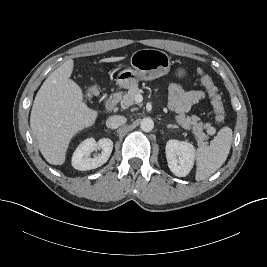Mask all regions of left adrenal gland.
<instances>
[{
    "label": "left adrenal gland",
    "mask_w": 267,
    "mask_h": 267,
    "mask_svg": "<svg viewBox=\"0 0 267 267\" xmlns=\"http://www.w3.org/2000/svg\"><path fill=\"white\" fill-rule=\"evenodd\" d=\"M167 128H177V126L173 125V124H169V125H167Z\"/></svg>",
    "instance_id": "a2214340"
}]
</instances>
